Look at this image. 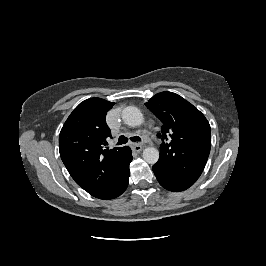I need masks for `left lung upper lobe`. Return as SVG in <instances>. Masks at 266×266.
<instances>
[{
	"mask_svg": "<svg viewBox=\"0 0 266 266\" xmlns=\"http://www.w3.org/2000/svg\"><path fill=\"white\" fill-rule=\"evenodd\" d=\"M146 107L162 122V143L157 165L169 174L197 180L211 148L210 125L205 116L178 94L161 92Z\"/></svg>",
	"mask_w": 266,
	"mask_h": 266,
	"instance_id": "1",
	"label": "left lung upper lobe"
}]
</instances>
